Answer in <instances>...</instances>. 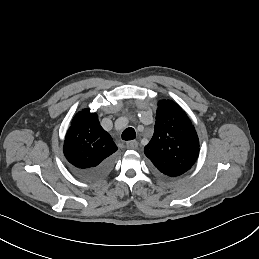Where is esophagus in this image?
<instances>
[{
	"instance_id": "34e87169",
	"label": "esophagus",
	"mask_w": 259,
	"mask_h": 259,
	"mask_svg": "<svg viewBox=\"0 0 259 259\" xmlns=\"http://www.w3.org/2000/svg\"><path fill=\"white\" fill-rule=\"evenodd\" d=\"M126 146H127V148H129V149H137V147H138V142L135 141V140L129 141V142H127Z\"/></svg>"
}]
</instances>
